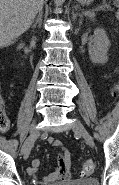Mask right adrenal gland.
<instances>
[{"label":"right adrenal gland","instance_id":"1","mask_svg":"<svg viewBox=\"0 0 119 185\" xmlns=\"http://www.w3.org/2000/svg\"><path fill=\"white\" fill-rule=\"evenodd\" d=\"M42 16H43V11L40 10L36 19L33 21V26L32 28H35L37 24H39V26H41L42 23Z\"/></svg>","mask_w":119,"mask_h":185}]
</instances>
